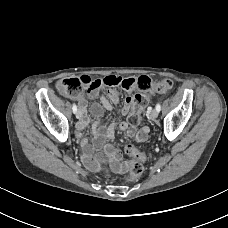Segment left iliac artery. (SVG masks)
<instances>
[{
  "instance_id": "1",
  "label": "left iliac artery",
  "mask_w": 228,
  "mask_h": 228,
  "mask_svg": "<svg viewBox=\"0 0 228 228\" xmlns=\"http://www.w3.org/2000/svg\"><path fill=\"white\" fill-rule=\"evenodd\" d=\"M156 110H157L158 112H160V110H161V105H160V103H157V105H156Z\"/></svg>"
}]
</instances>
